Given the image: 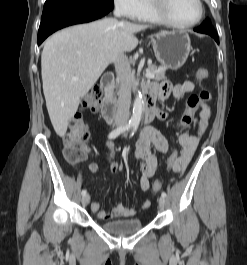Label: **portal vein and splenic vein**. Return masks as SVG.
I'll return each mask as SVG.
<instances>
[{"label": "portal vein and splenic vein", "instance_id": "obj_1", "mask_svg": "<svg viewBox=\"0 0 247 265\" xmlns=\"http://www.w3.org/2000/svg\"><path fill=\"white\" fill-rule=\"evenodd\" d=\"M146 77H147V78H154V75H153L152 73H150V72H147V73H146ZM73 80H74V81L78 80V77H74Z\"/></svg>", "mask_w": 247, "mask_h": 265}]
</instances>
